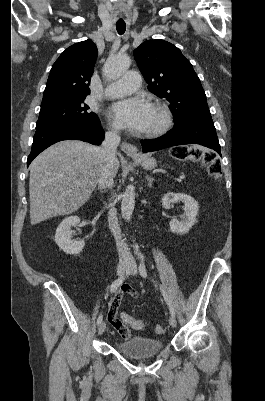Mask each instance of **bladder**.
Listing matches in <instances>:
<instances>
[{
	"label": "bladder",
	"instance_id": "1",
	"mask_svg": "<svg viewBox=\"0 0 265 401\" xmlns=\"http://www.w3.org/2000/svg\"><path fill=\"white\" fill-rule=\"evenodd\" d=\"M118 351L132 357H149L158 354L164 347L163 340L151 337H135L121 343H115Z\"/></svg>",
	"mask_w": 265,
	"mask_h": 401
}]
</instances>
